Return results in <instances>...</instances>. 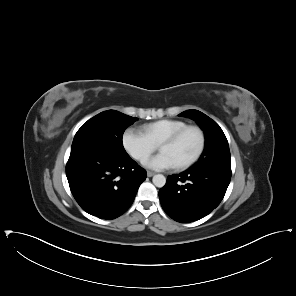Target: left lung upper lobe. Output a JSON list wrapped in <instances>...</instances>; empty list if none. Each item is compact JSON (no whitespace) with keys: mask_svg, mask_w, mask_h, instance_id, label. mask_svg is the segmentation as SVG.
<instances>
[{"mask_svg":"<svg viewBox=\"0 0 296 296\" xmlns=\"http://www.w3.org/2000/svg\"><path fill=\"white\" fill-rule=\"evenodd\" d=\"M196 121L205 134V148L193 167H231L228 141L219 125L198 110H187L179 114Z\"/></svg>","mask_w":296,"mask_h":296,"instance_id":"5c2ea615","label":"left lung upper lobe"}]
</instances>
